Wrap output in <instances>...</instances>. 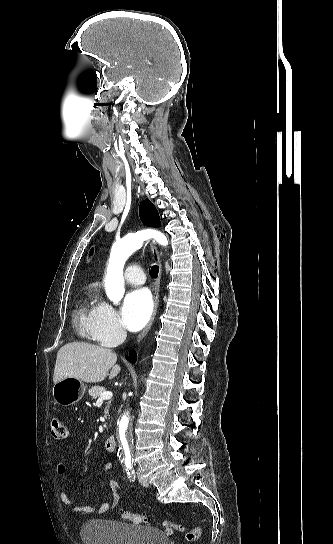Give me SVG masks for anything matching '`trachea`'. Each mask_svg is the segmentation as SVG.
I'll use <instances>...</instances> for the list:
<instances>
[{"label": "trachea", "instance_id": "obj_1", "mask_svg": "<svg viewBox=\"0 0 333 544\" xmlns=\"http://www.w3.org/2000/svg\"><path fill=\"white\" fill-rule=\"evenodd\" d=\"M159 268L157 265H153L151 267L150 273L153 278H156L158 276Z\"/></svg>", "mask_w": 333, "mask_h": 544}]
</instances>
